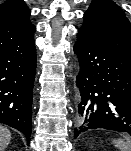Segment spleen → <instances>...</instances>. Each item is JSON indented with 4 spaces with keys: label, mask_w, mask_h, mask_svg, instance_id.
I'll return each mask as SVG.
<instances>
[{
    "label": "spleen",
    "mask_w": 131,
    "mask_h": 151,
    "mask_svg": "<svg viewBox=\"0 0 131 151\" xmlns=\"http://www.w3.org/2000/svg\"><path fill=\"white\" fill-rule=\"evenodd\" d=\"M115 147L119 149V151H131V144L129 142H125L121 139L114 140Z\"/></svg>",
    "instance_id": "1"
}]
</instances>
